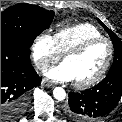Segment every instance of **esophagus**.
<instances>
[{
    "label": "esophagus",
    "instance_id": "1",
    "mask_svg": "<svg viewBox=\"0 0 122 122\" xmlns=\"http://www.w3.org/2000/svg\"><path fill=\"white\" fill-rule=\"evenodd\" d=\"M42 85L46 86V87H51V88L54 87V85L51 82H48V81H45V80L42 81Z\"/></svg>",
    "mask_w": 122,
    "mask_h": 122
}]
</instances>
